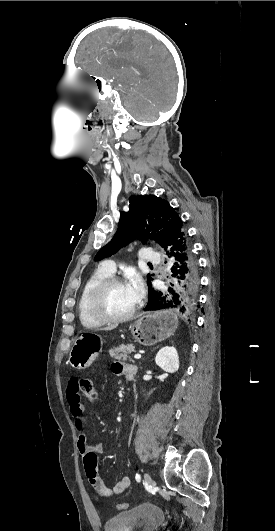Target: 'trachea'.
Returning a JSON list of instances; mask_svg holds the SVG:
<instances>
[{"mask_svg":"<svg viewBox=\"0 0 275 531\" xmlns=\"http://www.w3.org/2000/svg\"><path fill=\"white\" fill-rule=\"evenodd\" d=\"M148 266L152 267V263H148Z\"/></svg>","mask_w":275,"mask_h":531,"instance_id":"1","label":"trachea"}]
</instances>
